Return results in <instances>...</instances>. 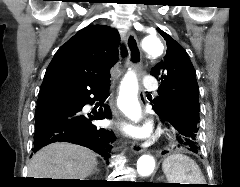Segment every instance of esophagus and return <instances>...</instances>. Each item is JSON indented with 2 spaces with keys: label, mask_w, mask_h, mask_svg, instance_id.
<instances>
[{
  "label": "esophagus",
  "mask_w": 240,
  "mask_h": 187,
  "mask_svg": "<svg viewBox=\"0 0 240 187\" xmlns=\"http://www.w3.org/2000/svg\"><path fill=\"white\" fill-rule=\"evenodd\" d=\"M126 46L128 50L127 66L138 69L141 64V51L137 36L133 31H127L126 36ZM146 145L140 144L138 142H133L131 145V150L134 153H142L146 150Z\"/></svg>",
  "instance_id": "obj_1"
}]
</instances>
